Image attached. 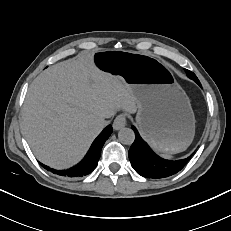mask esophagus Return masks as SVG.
I'll return each mask as SVG.
<instances>
[{"label":"esophagus","mask_w":231,"mask_h":231,"mask_svg":"<svg viewBox=\"0 0 231 231\" xmlns=\"http://www.w3.org/2000/svg\"><path fill=\"white\" fill-rule=\"evenodd\" d=\"M125 125H126V117H125V115L121 114L115 118V120L113 122V129L119 130V129L123 128Z\"/></svg>","instance_id":"34e87169"}]
</instances>
